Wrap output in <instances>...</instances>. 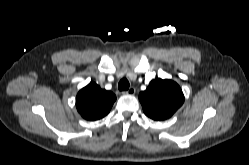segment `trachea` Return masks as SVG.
<instances>
[{
    "instance_id": "obj_1",
    "label": "trachea",
    "mask_w": 249,
    "mask_h": 165,
    "mask_svg": "<svg viewBox=\"0 0 249 165\" xmlns=\"http://www.w3.org/2000/svg\"><path fill=\"white\" fill-rule=\"evenodd\" d=\"M118 89L120 91H126L129 89V81L126 78L120 80L118 84Z\"/></svg>"
}]
</instances>
